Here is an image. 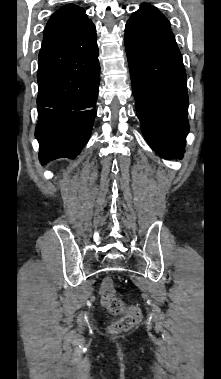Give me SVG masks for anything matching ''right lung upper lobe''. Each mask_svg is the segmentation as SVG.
Masks as SVG:
<instances>
[{
  "mask_svg": "<svg viewBox=\"0 0 221 379\" xmlns=\"http://www.w3.org/2000/svg\"><path fill=\"white\" fill-rule=\"evenodd\" d=\"M90 20L81 7L68 4L61 7L49 19L42 47L64 40L82 30Z\"/></svg>",
  "mask_w": 221,
  "mask_h": 379,
  "instance_id": "cb5924a9",
  "label": "right lung upper lobe"
}]
</instances>
